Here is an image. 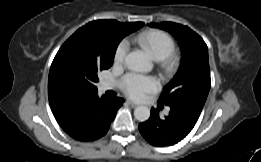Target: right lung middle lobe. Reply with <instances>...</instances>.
Listing matches in <instances>:
<instances>
[{"label": "right lung middle lobe", "instance_id": "1", "mask_svg": "<svg viewBox=\"0 0 261 162\" xmlns=\"http://www.w3.org/2000/svg\"><path fill=\"white\" fill-rule=\"evenodd\" d=\"M144 23L93 21L78 29L59 49L49 72L48 95L55 100L97 93V73L112 66L119 42Z\"/></svg>", "mask_w": 261, "mask_h": 162}]
</instances>
